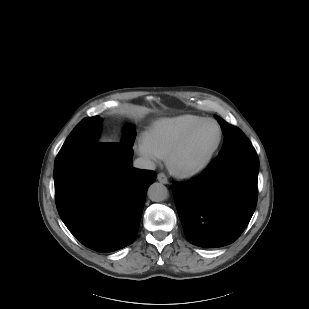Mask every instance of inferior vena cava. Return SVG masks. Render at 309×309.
<instances>
[{
  "label": "inferior vena cava",
  "mask_w": 309,
  "mask_h": 309,
  "mask_svg": "<svg viewBox=\"0 0 309 309\" xmlns=\"http://www.w3.org/2000/svg\"><path fill=\"white\" fill-rule=\"evenodd\" d=\"M134 167L139 168V169H146V170H155V163L152 162L151 160L147 158H137L134 161Z\"/></svg>",
  "instance_id": "1"
}]
</instances>
